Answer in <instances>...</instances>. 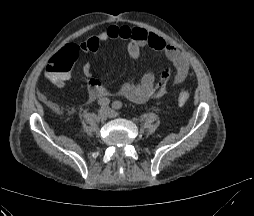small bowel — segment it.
Here are the masks:
<instances>
[{
	"instance_id": "c3829d8e",
	"label": "small bowel",
	"mask_w": 254,
	"mask_h": 216,
	"mask_svg": "<svg viewBox=\"0 0 254 216\" xmlns=\"http://www.w3.org/2000/svg\"><path fill=\"white\" fill-rule=\"evenodd\" d=\"M115 39L128 42L127 52L135 61L139 59L141 49L148 46L155 51L162 52L175 68L173 77H171V69L166 68L158 79L154 73L148 72L140 81L133 79L127 81L121 88L122 94L127 99L135 103H143L149 99L161 98L171 88L181 85L186 80L189 73V64L185 56L162 37L137 26L111 25L99 34L90 36L81 44H66L62 49V54L68 58L74 57L79 51L95 54L101 42ZM52 60L53 58L49 60L48 64L52 63ZM82 71L88 78V98L90 101L100 100L111 95V91L95 77L91 63H85ZM46 76L57 88H63L71 78L70 73L51 77L47 71Z\"/></svg>"
}]
</instances>
